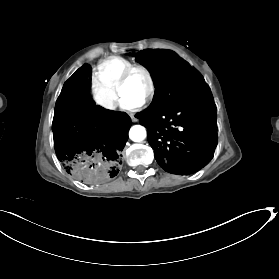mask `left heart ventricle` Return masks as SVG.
I'll list each match as a JSON object with an SVG mask.
<instances>
[{
  "instance_id": "left-heart-ventricle-1",
  "label": "left heart ventricle",
  "mask_w": 279,
  "mask_h": 279,
  "mask_svg": "<svg viewBox=\"0 0 279 279\" xmlns=\"http://www.w3.org/2000/svg\"><path fill=\"white\" fill-rule=\"evenodd\" d=\"M148 88L146 76L141 72H134L124 87L121 98L129 102H142Z\"/></svg>"
}]
</instances>
